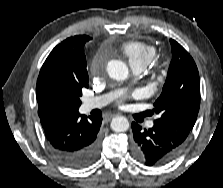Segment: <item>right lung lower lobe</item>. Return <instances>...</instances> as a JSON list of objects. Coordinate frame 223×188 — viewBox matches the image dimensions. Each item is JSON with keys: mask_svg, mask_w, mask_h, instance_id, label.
<instances>
[{"mask_svg": "<svg viewBox=\"0 0 223 188\" xmlns=\"http://www.w3.org/2000/svg\"><path fill=\"white\" fill-rule=\"evenodd\" d=\"M102 118L77 113L41 119L52 154L65 166L80 169L99 156L98 131Z\"/></svg>", "mask_w": 223, "mask_h": 188, "instance_id": "1", "label": "right lung lower lobe"}]
</instances>
